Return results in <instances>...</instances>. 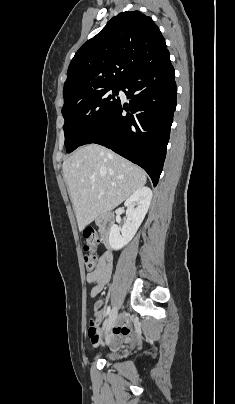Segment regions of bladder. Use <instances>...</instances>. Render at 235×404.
Instances as JSON below:
<instances>
[{"label": "bladder", "instance_id": "1", "mask_svg": "<svg viewBox=\"0 0 235 404\" xmlns=\"http://www.w3.org/2000/svg\"><path fill=\"white\" fill-rule=\"evenodd\" d=\"M116 357V353H109L107 354L108 359H114Z\"/></svg>", "mask_w": 235, "mask_h": 404}]
</instances>
